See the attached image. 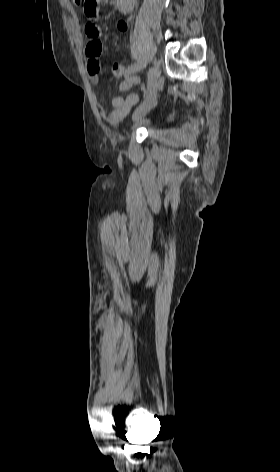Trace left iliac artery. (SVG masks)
Returning <instances> with one entry per match:
<instances>
[{
	"mask_svg": "<svg viewBox=\"0 0 280 472\" xmlns=\"http://www.w3.org/2000/svg\"><path fill=\"white\" fill-rule=\"evenodd\" d=\"M144 67V62L143 61H140L138 63H135V64H132L130 65L127 69H126V73H125V77H126V80L127 81H132L133 80V74L140 71L142 68Z\"/></svg>",
	"mask_w": 280,
	"mask_h": 472,
	"instance_id": "1",
	"label": "left iliac artery"
}]
</instances>
